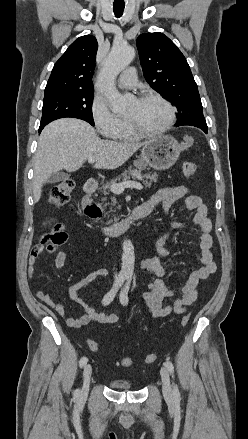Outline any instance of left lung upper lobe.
I'll return each mask as SVG.
<instances>
[{
	"label": "left lung upper lobe",
	"mask_w": 248,
	"mask_h": 439,
	"mask_svg": "<svg viewBox=\"0 0 248 439\" xmlns=\"http://www.w3.org/2000/svg\"><path fill=\"white\" fill-rule=\"evenodd\" d=\"M136 44L146 81L178 110L176 125L206 126L197 84L177 46L159 32L139 35Z\"/></svg>",
	"instance_id": "1"
}]
</instances>
